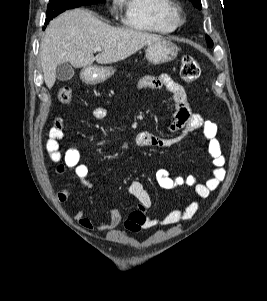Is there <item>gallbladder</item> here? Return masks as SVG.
Instances as JSON below:
<instances>
[{
  "label": "gallbladder",
  "mask_w": 267,
  "mask_h": 301,
  "mask_svg": "<svg viewBox=\"0 0 267 301\" xmlns=\"http://www.w3.org/2000/svg\"><path fill=\"white\" fill-rule=\"evenodd\" d=\"M74 76V69L70 63H61L56 68V78L59 81H68Z\"/></svg>",
  "instance_id": "gallbladder-1"
}]
</instances>
